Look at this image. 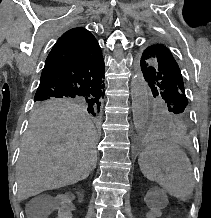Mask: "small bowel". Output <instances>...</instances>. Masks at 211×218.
Instances as JSON below:
<instances>
[{
    "mask_svg": "<svg viewBox=\"0 0 211 218\" xmlns=\"http://www.w3.org/2000/svg\"><path fill=\"white\" fill-rule=\"evenodd\" d=\"M159 215V212L154 210V209H151L148 214H147V217L148 218H156L157 216ZM55 218H69L70 217V213L69 211L64 208V207H59L56 209L55 211Z\"/></svg>",
    "mask_w": 211,
    "mask_h": 218,
    "instance_id": "c3829d8e",
    "label": "small bowel"
}]
</instances>
